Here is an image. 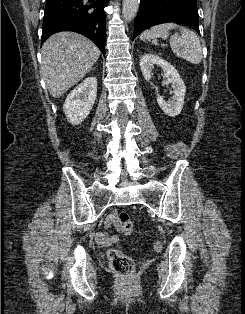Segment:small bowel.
<instances>
[{"instance_id": "1", "label": "small bowel", "mask_w": 245, "mask_h": 314, "mask_svg": "<svg viewBox=\"0 0 245 314\" xmlns=\"http://www.w3.org/2000/svg\"><path fill=\"white\" fill-rule=\"evenodd\" d=\"M105 227L107 229L113 228L114 231L111 233L97 232L95 234L96 241L102 246H108L119 243V236L117 232L121 231L119 224L116 220V211H113L105 221Z\"/></svg>"}]
</instances>
